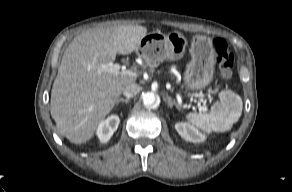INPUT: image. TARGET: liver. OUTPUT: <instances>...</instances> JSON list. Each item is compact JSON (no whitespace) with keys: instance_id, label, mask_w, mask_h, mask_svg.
Returning <instances> with one entry per match:
<instances>
[{"instance_id":"obj_1","label":"liver","mask_w":292,"mask_h":192,"mask_svg":"<svg viewBox=\"0 0 292 192\" xmlns=\"http://www.w3.org/2000/svg\"><path fill=\"white\" fill-rule=\"evenodd\" d=\"M147 29L139 25L93 28L66 48L51 91L50 112L60 134L72 143L90 140L136 77L105 69L117 54L136 50ZM150 63L146 61V66Z\"/></svg>"}]
</instances>
